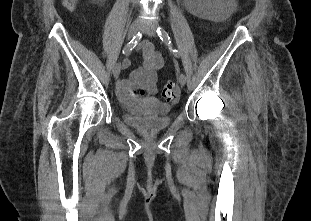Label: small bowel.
<instances>
[{
	"instance_id": "small-bowel-1",
	"label": "small bowel",
	"mask_w": 311,
	"mask_h": 221,
	"mask_svg": "<svg viewBox=\"0 0 311 221\" xmlns=\"http://www.w3.org/2000/svg\"><path fill=\"white\" fill-rule=\"evenodd\" d=\"M139 51L143 58L141 65L119 83V89L124 96L132 87L142 89L149 95L157 91L158 71L163 66V57L149 41L141 43Z\"/></svg>"
}]
</instances>
